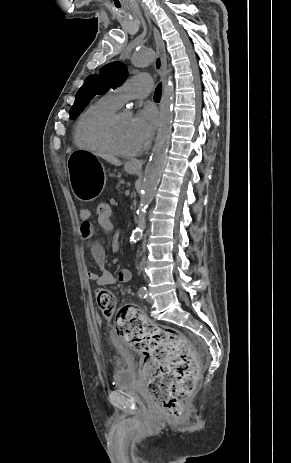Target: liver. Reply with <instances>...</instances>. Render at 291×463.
<instances>
[{
  "label": "liver",
  "instance_id": "liver-1",
  "mask_svg": "<svg viewBox=\"0 0 291 463\" xmlns=\"http://www.w3.org/2000/svg\"><path fill=\"white\" fill-rule=\"evenodd\" d=\"M97 155H99L100 157H102L103 159H105L106 161L110 162L111 164L115 166H120L122 164L119 159H117L116 157L112 155L104 154V153H98Z\"/></svg>",
  "mask_w": 291,
  "mask_h": 463
}]
</instances>
